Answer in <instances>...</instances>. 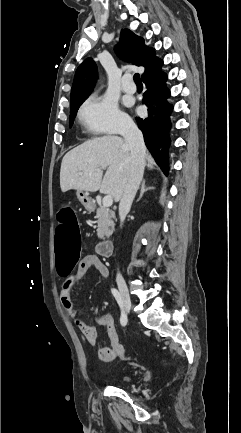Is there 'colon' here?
Instances as JSON below:
<instances>
[{"mask_svg": "<svg viewBox=\"0 0 241 433\" xmlns=\"http://www.w3.org/2000/svg\"><path fill=\"white\" fill-rule=\"evenodd\" d=\"M62 212H55L54 219L58 225L54 227V252L55 271L65 275L73 272L75 263L79 259L80 249V227L81 222L77 220L75 205H62ZM116 357L127 359L123 346L118 342L113 345Z\"/></svg>", "mask_w": 241, "mask_h": 433, "instance_id": "1", "label": "colon"}]
</instances>
